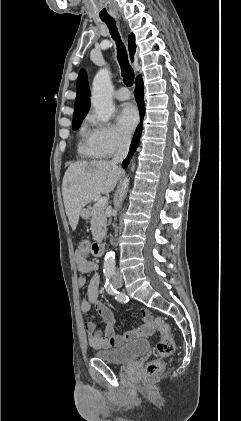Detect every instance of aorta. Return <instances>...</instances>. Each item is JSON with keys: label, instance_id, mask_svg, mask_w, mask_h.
Listing matches in <instances>:
<instances>
[{"label": "aorta", "instance_id": "1", "mask_svg": "<svg viewBox=\"0 0 241 421\" xmlns=\"http://www.w3.org/2000/svg\"><path fill=\"white\" fill-rule=\"evenodd\" d=\"M112 84L107 69H100L94 77L92 86L91 102L97 112L98 118L102 122H107L113 114L115 107L112 100ZM129 185V179L126 178L121 187L120 201L126 195ZM115 265V253L107 252L105 256L104 266L113 267Z\"/></svg>", "mask_w": 241, "mask_h": 421}]
</instances>
